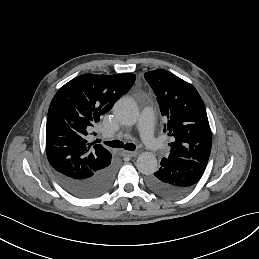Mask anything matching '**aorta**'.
I'll return each mask as SVG.
<instances>
[{"label": "aorta", "mask_w": 259, "mask_h": 259, "mask_svg": "<svg viewBox=\"0 0 259 259\" xmlns=\"http://www.w3.org/2000/svg\"><path fill=\"white\" fill-rule=\"evenodd\" d=\"M113 113L120 123L128 126L134 125L139 115L136 103L129 98H120L114 105ZM136 167L142 174L151 175L157 170V159L151 152H142L137 158Z\"/></svg>", "instance_id": "aorta-1"}]
</instances>
